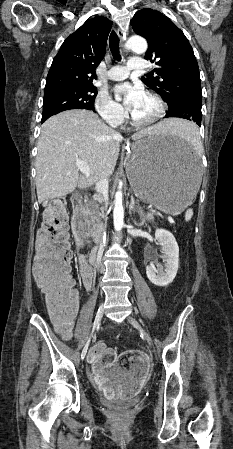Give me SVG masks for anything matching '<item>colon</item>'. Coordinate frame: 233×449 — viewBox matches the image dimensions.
<instances>
[{
    "label": "colon",
    "instance_id": "colon-1",
    "mask_svg": "<svg viewBox=\"0 0 233 449\" xmlns=\"http://www.w3.org/2000/svg\"><path fill=\"white\" fill-rule=\"evenodd\" d=\"M44 222L37 234L34 277L43 291L53 317L66 321L77 306L71 274L72 252L68 234L67 201L56 198L44 210ZM120 365L130 367L133 356L125 353Z\"/></svg>",
    "mask_w": 233,
    "mask_h": 449
}]
</instances>
